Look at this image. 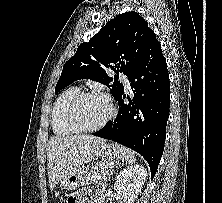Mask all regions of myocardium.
Listing matches in <instances>:
<instances>
[{"label":"myocardium","mask_w":222,"mask_h":203,"mask_svg":"<svg viewBox=\"0 0 222 203\" xmlns=\"http://www.w3.org/2000/svg\"><path fill=\"white\" fill-rule=\"evenodd\" d=\"M87 97H99L104 99L108 105H109V113L108 115L99 123L92 125V126H87L84 125L77 114V109L80 104V102L87 98ZM116 110L115 106L112 102V100L105 95L104 93L101 92H96V91H85V92H80L78 93L73 99L69 102L67 109H66V119L68 123L73 126L75 129L81 132H93L96 130L101 129L104 127L114 116H115Z\"/></svg>","instance_id":"1"}]
</instances>
